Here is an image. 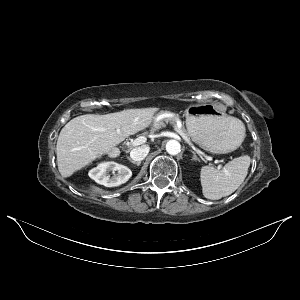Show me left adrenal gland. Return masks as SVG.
<instances>
[{
	"label": "left adrenal gland",
	"instance_id": "left-adrenal-gland-1",
	"mask_svg": "<svg viewBox=\"0 0 300 300\" xmlns=\"http://www.w3.org/2000/svg\"><path fill=\"white\" fill-rule=\"evenodd\" d=\"M193 153V160H196V161H200L199 158L197 157L196 153L194 151H192Z\"/></svg>",
	"mask_w": 300,
	"mask_h": 300
}]
</instances>
